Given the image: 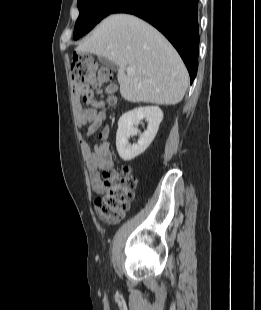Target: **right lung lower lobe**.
<instances>
[{
	"instance_id": "1",
	"label": "right lung lower lobe",
	"mask_w": 261,
	"mask_h": 310,
	"mask_svg": "<svg viewBox=\"0 0 261 310\" xmlns=\"http://www.w3.org/2000/svg\"><path fill=\"white\" fill-rule=\"evenodd\" d=\"M199 0H125L112 13H129L152 24L176 48L193 82L198 68Z\"/></svg>"
}]
</instances>
